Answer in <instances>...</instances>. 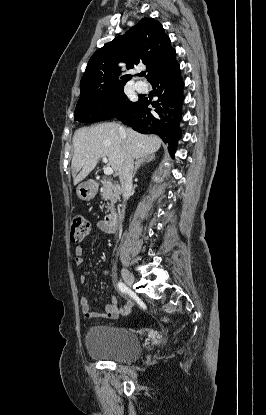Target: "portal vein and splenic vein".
<instances>
[{
	"mask_svg": "<svg viewBox=\"0 0 266 415\" xmlns=\"http://www.w3.org/2000/svg\"><path fill=\"white\" fill-rule=\"evenodd\" d=\"M102 160H103L104 163H107V161H108L106 157H103ZM104 174L105 175H112L113 174V168L109 167V166L104 168Z\"/></svg>",
	"mask_w": 266,
	"mask_h": 415,
	"instance_id": "obj_1",
	"label": "portal vein and splenic vein"
}]
</instances>
